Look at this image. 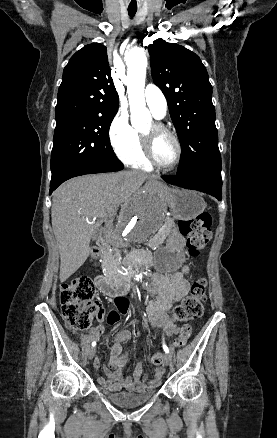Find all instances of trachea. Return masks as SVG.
I'll return each mask as SVG.
<instances>
[{"instance_id": "3493384b", "label": "trachea", "mask_w": 277, "mask_h": 438, "mask_svg": "<svg viewBox=\"0 0 277 438\" xmlns=\"http://www.w3.org/2000/svg\"><path fill=\"white\" fill-rule=\"evenodd\" d=\"M136 12H137V7L128 8V13L130 17H134Z\"/></svg>"}]
</instances>
